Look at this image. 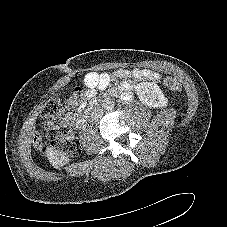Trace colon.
<instances>
[{
  "label": "colon",
  "instance_id": "colon-1",
  "mask_svg": "<svg viewBox=\"0 0 227 227\" xmlns=\"http://www.w3.org/2000/svg\"><path fill=\"white\" fill-rule=\"evenodd\" d=\"M164 85L172 92H179L181 85L173 76H165ZM83 90L74 88L70 97L71 102H80ZM65 108L57 97H50L41 107L40 116L45 122V131L38 132L34 137V145L45 153L56 148L68 155L76 156L80 152V144L65 119Z\"/></svg>",
  "mask_w": 227,
  "mask_h": 227
}]
</instances>
